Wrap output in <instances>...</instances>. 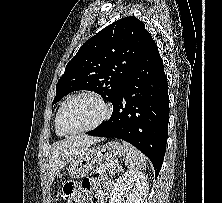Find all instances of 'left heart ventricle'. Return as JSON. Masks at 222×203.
<instances>
[{
    "label": "left heart ventricle",
    "mask_w": 222,
    "mask_h": 203,
    "mask_svg": "<svg viewBox=\"0 0 222 203\" xmlns=\"http://www.w3.org/2000/svg\"><path fill=\"white\" fill-rule=\"evenodd\" d=\"M103 114V107L88 97L72 100L63 112V124L69 129H79L95 123Z\"/></svg>",
    "instance_id": "left-heart-ventricle-1"
}]
</instances>
